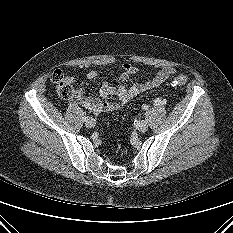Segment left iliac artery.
<instances>
[{"instance_id": "44dca946", "label": "left iliac artery", "mask_w": 233, "mask_h": 233, "mask_svg": "<svg viewBox=\"0 0 233 233\" xmlns=\"http://www.w3.org/2000/svg\"><path fill=\"white\" fill-rule=\"evenodd\" d=\"M159 103L164 104V103H166V101H165V100H163L162 102H161L160 100H156V101H155V104H156V105H159ZM142 108H143L144 110H147V109H148V106H147L146 104H144V105L142 106Z\"/></svg>"}]
</instances>
